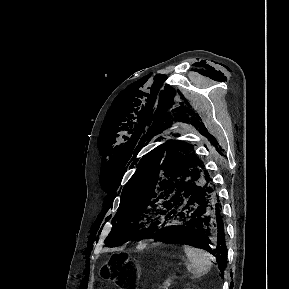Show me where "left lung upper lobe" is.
<instances>
[{"label":"left lung upper lobe","instance_id":"1","mask_svg":"<svg viewBox=\"0 0 289 289\" xmlns=\"http://www.w3.org/2000/svg\"><path fill=\"white\" fill-rule=\"evenodd\" d=\"M193 147L180 141L164 143L149 152L123 189L113 228L105 240L116 247L142 239L160 227L170 201L188 183L209 177L201 160L191 153Z\"/></svg>","mask_w":289,"mask_h":289}]
</instances>
